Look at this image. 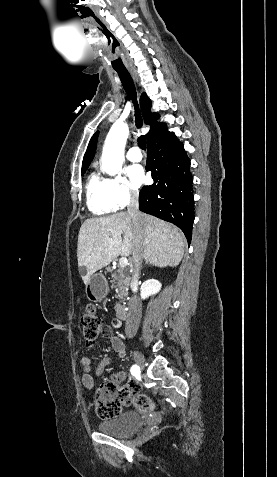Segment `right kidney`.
I'll return each instance as SVG.
<instances>
[{"label": "right kidney", "mask_w": 277, "mask_h": 477, "mask_svg": "<svg viewBox=\"0 0 277 477\" xmlns=\"http://www.w3.org/2000/svg\"><path fill=\"white\" fill-rule=\"evenodd\" d=\"M161 283L155 279L146 280L140 288L141 299H146L147 297L158 293L161 289Z\"/></svg>", "instance_id": "right-kidney-1"}]
</instances>
